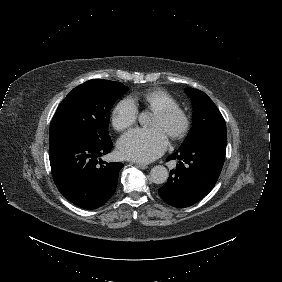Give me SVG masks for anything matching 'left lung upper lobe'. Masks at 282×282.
Here are the masks:
<instances>
[{
	"label": "left lung upper lobe",
	"mask_w": 282,
	"mask_h": 282,
	"mask_svg": "<svg viewBox=\"0 0 282 282\" xmlns=\"http://www.w3.org/2000/svg\"><path fill=\"white\" fill-rule=\"evenodd\" d=\"M186 94L192 99L193 124L185 141V146L197 137L218 130H226L225 121L214 102L202 91L187 88Z\"/></svg>",
	"instance_id": "obj_1"
}]
</instances>
